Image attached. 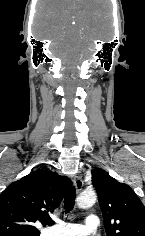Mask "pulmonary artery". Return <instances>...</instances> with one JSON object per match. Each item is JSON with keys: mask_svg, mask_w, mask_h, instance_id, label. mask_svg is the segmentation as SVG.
Masks as SVG:
<instances>
[{"mask_svg": "<svg viewBox=\"0 0 145 236\" xmlns=\"http://www.w3.org/2000/svg\"><path fill=\"white\" fill-rule=\"evenodd\" d=\"M99 220L95 215H89L85 224L60 223L53 227L47 228L43 236H88L96 231Z\"/></svg>", "mask_w": 145, "mask_h": 236, "instance_id": "obj_1", "label": "pulmonary artery"}]
</instances>
